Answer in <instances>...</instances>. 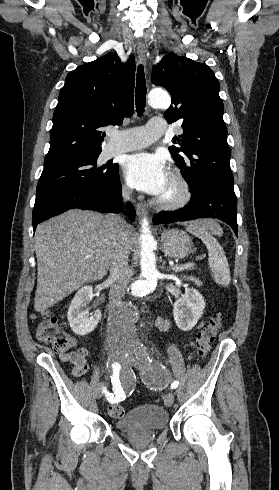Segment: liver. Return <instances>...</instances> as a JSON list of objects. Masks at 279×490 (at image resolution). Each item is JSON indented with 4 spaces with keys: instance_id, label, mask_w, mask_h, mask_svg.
<instances>
[{
    "instance_id": "obj_1",
    "label": "liver",
    "mask_w": 279,
    "mask_h": 490,
    "mask_svg": "<svg viewBox=\"0 0 279 490\" xmlns=\"http://www.w3.org/2000/svg\"><path fill=\"white\" fill-rule=\"evenodd\" d=\"M116 226L109 216L88 210H69L61 216L39 224L35 232L37 288L34 308L42 312L81 288L86 282L103 280L119 242ZM125 252L130 254L135 238L131 226Z\"/></svg>"
}]
</instances>
